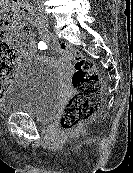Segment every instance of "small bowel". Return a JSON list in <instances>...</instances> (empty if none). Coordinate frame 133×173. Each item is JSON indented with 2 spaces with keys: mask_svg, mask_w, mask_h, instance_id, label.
<instances>
[{
  "mask_svg": "<svg viewBox=\"0 0 133 173\" xmlns=\"http://www.w3.org/2000/svg\"><path fill=\"white\" fill-rule=\"evenodd\" d=\"M32 21V20H31ZM22 37L26 40H21L17 44V51L26 58L35 56L34 35L31 32H26Z\"/></svg>",
  "mask_w": 133,
  "mask_h": 173,
  "instance_id": "1",
  "label": "small bowel"
}]
</instances>
